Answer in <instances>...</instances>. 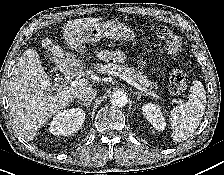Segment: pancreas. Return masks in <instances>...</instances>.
I'll use <instances>...</instances> for the list:
<instances>
[{"label":"pancreas","instance_id":"obj_1","mask_svg":"<svg viewBox=\"0 0 224 175\" xmlns=\"http://www.w3.org/2000/svg\"><path fill=\"white\" fill-rule=\"evenodd\" d=\"M104 52L113 56L114 59L118 58L117 55L120 54V51L109 52L106 50L100 51L98 53V56L102 55ZM98 68L99 72L102 74L115 75L116 73H120L141 84V86L150 87V89L156 87L151 81L148 80L146 75H143L142 72L135 70L133 67H128L127 65L117 64L115 62L110 63L107 60V64L100 65Z\"/></svg>","mask_w":224,"mask_h":175}]
</instances>
